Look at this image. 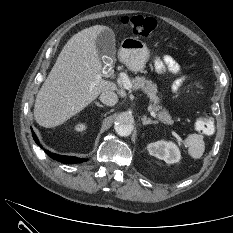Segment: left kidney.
<instances>
[{
    "mask_svg": "<svg viewBox=\"0 0 233 233\" xmlns=\"http://www.w3.org/2000/svg\"><path fill=\"white\" fill-rule=\"evenodd\" d=\"M150 155L164 160L168 164L177 163L181 159L179 148L173 142H167L164 140L150 143L147 146Z\"/></svg>",
    "mask_w": 233,
    "mask_h": 233,
    "instance_id": "obj_1",
    "label": "left kidney"
}]
</instances>
